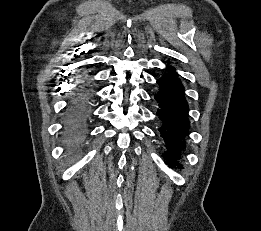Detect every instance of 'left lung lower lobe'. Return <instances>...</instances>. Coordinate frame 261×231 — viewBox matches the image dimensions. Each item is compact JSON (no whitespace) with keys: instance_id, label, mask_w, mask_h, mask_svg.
I'll return each instance as SVG.
<instances>
[{"instance_id":"obj_1","label":"left lung lower lobe","mask_w":261,"mask_h":231,"mask_svg":"<svg viewBox=\"0 0 261 231\" xmlns=\"http://www.w3.org/2000/svg\"><path fill=\"white\" fill-rule=\"evenodd\" d=\"M158 92L154 98L158 103L156 115L160 120L159 132L166 148L164 160L168 165L181 167V152L186 148L189 133L188 104L184 86L174 67L167 66L165 73L157 80Z\"/></svg>"}]
</instances>
